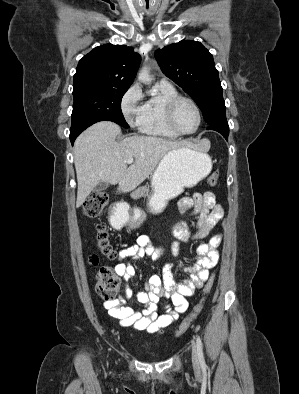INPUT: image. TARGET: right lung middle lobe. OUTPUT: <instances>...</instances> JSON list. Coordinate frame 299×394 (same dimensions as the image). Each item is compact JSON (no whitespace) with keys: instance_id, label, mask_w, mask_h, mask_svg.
I'll use <instances>...</instances> for the list:
<instances>
[{"instance_id":"dd1d6c3e","label":"right lung middle lobe","mask_w":299,"mask_h":394,"mask_svg":"<svg viewBox=\"0 0 299 394\" xmlns=\"http://www.w3.org/2000/svg\"><path fill=\"white\" fill-rule=\"evenodd\" d=\"M127 90L105 86L73 88L72 124L108 120L128 128L121 111V100Z\"/></svg>"}]
</instances>
